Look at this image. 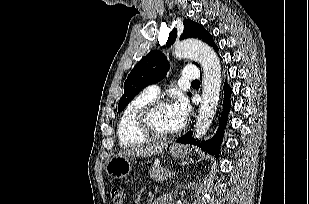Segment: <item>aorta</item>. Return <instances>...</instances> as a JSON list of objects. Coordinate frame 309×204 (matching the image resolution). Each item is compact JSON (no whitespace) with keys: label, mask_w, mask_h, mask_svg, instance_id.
<instances>
[{"label":"aorta","mask_w":309,"mask_h":204,"mask_svg":"<svg viewBox=\"0 0 309 204\" xmlns=\"http://www.w3.org/2000/svg\"><path fill=\"white\" fill-rule=\"evenodd\" d=\"M174 54L177 58L198 61L203 69L202 99L195 124V135L201 138L209 130L218 106L222 80L220 61L210 46L198 40L176 43Z\"/></svg>","instance_id":"aorta-1"}]
</instances>
